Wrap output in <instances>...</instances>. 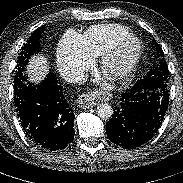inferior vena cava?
<instances>
[{
  "instance_id": "obj_1",
  "label": "inferior vena cava",
  "mask_w": 183,
  "mask_h": 183,
  "mask_svg": "<svg viewBox=\"0 0 183 183\" xmlns=\"http://www.w3.org/2000/svg\"><path fill=\"white\" fill-rule=\"evenodd\" d=\"M63 76L66 81L71 83H77L81 81L84 76L83 70L78 67H69L63 73Z\"/></svg>"
}]
</instances>
